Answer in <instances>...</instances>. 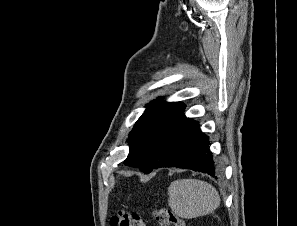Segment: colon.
<instances>
[{"instance_id": "1", "label": "colon", "mask_w": 297, "mask_h": 226, "mask_svg": "<svg viewBox=\"0 0 297 226\" xmlns=\"http://www.w3.org/2000/svg\"><path fill=\"white\" fill-rule=\"evenodd\" d=\"M154 219L160 226H186L184 220L176 216L167 207H162L154 212ZM111 226H145L141 215L135 212L119 210L110 219Z\"/></svg>"}]
</instances>
